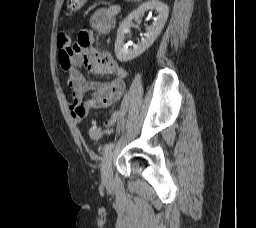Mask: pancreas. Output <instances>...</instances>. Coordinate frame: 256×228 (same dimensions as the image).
<instances>
[{"mask_svg":"<svg viewBox=\"0 0 256 228\" xmlns=\"http://www.w3.org/2000/svg\"><path fill=\"white\" fill-rule=\"evenodd\" d=\"M127 2H136L138 0H126Z\"/></svg>","mask_w":256,"mask_h":228,"instance_id":"1","label":"pancreas"}]
</instances>
